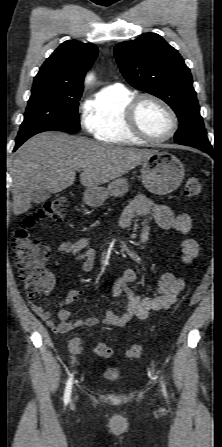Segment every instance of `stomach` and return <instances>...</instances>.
Returning a JSON list of instances; mask_svg holds the SVG:
<instances>
[{
  "mask_svg": "<svg viewBox=\"0 0 222 447\" xmlns=\"http://www.w3.org/2000/svg\"><path fill=\"white\" fill-rule=\"evenodd\" d=\"M141 179L151 193L165 195L179 187L184 179L183 164L174 155L157 151L142 162ZM128 192V182L124 178L112 181L106 189L88 187L83 195L86 204L101 206L109 196L120 197Z\"/></svg>",
  "mask_w": 222,
  "mask_h": 447,
  "instance_id": "1",
  "label": "stomach"
}]
</instances>
